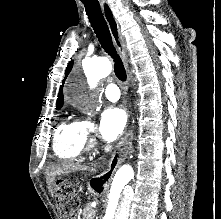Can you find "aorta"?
Segmentation results:
<instances>
[{"instance_id":"1","label":"aorta","mask_w":221,"mask_h":219,"mask_svg":"<svg viewBox=\"0 0 221 219\" xmlns=\"http://www.w3.org/2000/svg\"><path fill=\"white\" fill-rule=\"evenodd\" d=\"M87 71L90 74L91 87L94 88L97 82L107 77L112 71V64L106 57L93 59L87 65ZM70 95H77V92L70 89ZM81 101L86 102V97H80ZM138 175V169L135 164H126L121 166L113 179L107 213L105 219H128L131 203L135 195V186Z\"/></svg>"}]
</instances>
